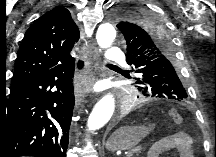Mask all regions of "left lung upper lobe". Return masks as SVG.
<instances>
[{
  "label": "left lung upper lobe",
  "instance_id": "obj_1",
  "mask_svg": "<svg viewBox=\"0 0 216 157\" xmlns=\"http://www.w3.org/2000/svg\"><path fill=\"white\" fill-rule=\"evenodd\" d=\"M113 17L124 42L126 61L131 66L138 90L143 95L162 100L184 101L188 98L179 76V64L173 56L170 31L154 10L128 4L120 6Z\"/></svg>",
  "mask_w": 216,
  "mask_h": 157
}]
</instances>
